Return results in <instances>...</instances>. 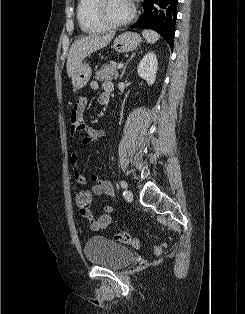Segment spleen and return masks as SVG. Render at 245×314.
I'll return each instance as SVG.
<instances>
[{"instance_id": "obj_1", "label": "spleen", "mask_w": 245, "mask_h": 314, "mask_svg": "<svg viewBox=\"0 0 245 314\" xmlns=\"http://www.w3.org/2000/svg\"><path fill=\"white\" fill-rule=\"evenodd\" d=\"M142 35L148 43H155L160 37L157 32L149 29H144Z\"/></svg>"}]
</instances>
